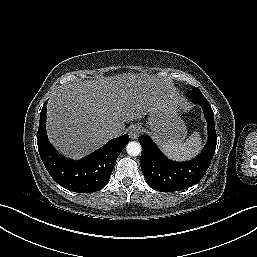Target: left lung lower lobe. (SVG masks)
I'll use <instances>...</instances> for the list:
<instances>
[{
    "mask_svg": "<svg viewBox=\"0 0 257 257\" xmlns=\"http://www.w3.org/2000/svg\"><path fill=\"white\" fill-rule=\"evenodd\" d=\"M193 102L203 108L208 129L207 144L194 159L172 161L160 152L149 136L141 135L138 138L142 147L141 169L147 184L154 190L173 192L191 187L202 179L211 163L217 144L214 113L206 99Z\"/></svg>",
    "mask_w": 257,
    "mask_h": 257,
    "instance_id": "0a47b994",
    "label": "left lung lower lobe"
}]
</instances>
